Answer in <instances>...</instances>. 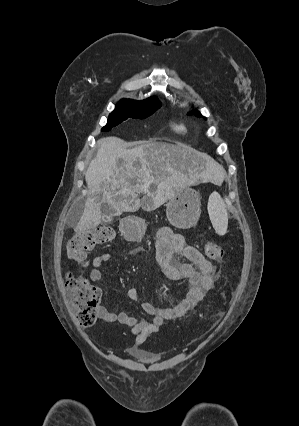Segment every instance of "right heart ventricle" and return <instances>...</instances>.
I'll return each instance as SVG.
<instances>
[{
    "label": "right heart ventricle",
    "mask_w": 299,
    "mask_h": 426,
    "mask_svg": "<svg viewBox=\"0 0 299 426\" xmlns=\"http://www.w3.org/2000/svg\"><path fill=\"white\" fill-rule=\"evenodd\" d=\"M176 129H177L178 131H183V130H184V127H183V126H181V125H179V126H176Z\"/></svg>",
    "instance_id": "obj_1"
}]
</instances>
